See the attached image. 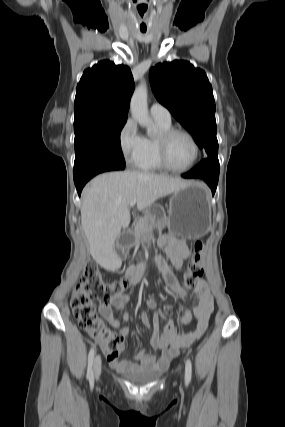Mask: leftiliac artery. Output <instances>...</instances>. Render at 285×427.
<instances>
[{
  "instance_id": "1",
  "label": "left iliac artery",
  "mask_w": 285,
  "mask_h": 427,
  "mask_svg": "<svg viewBox=\"0 0 285 427\" xmlns=\"http://www.w3.org/2000/svg\"><path fill=\"white\" fill-rule=\"evenodd\" d=\"M191 375H192V364L189 359L186 360L185 364V382L189 383L191 381Z\"/></svg>"
}]
</instances>
